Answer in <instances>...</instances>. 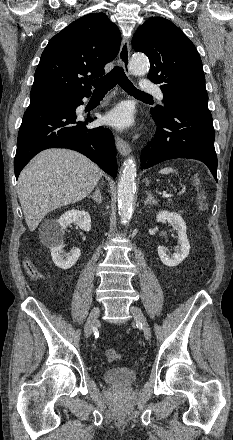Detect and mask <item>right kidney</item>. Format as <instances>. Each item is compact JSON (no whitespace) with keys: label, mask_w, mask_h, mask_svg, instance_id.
<instances>
[{"label":"right kidney","mask_w":233,"mask_h":440,"mask_svg":"<svg viewBox=\"0 0 233 440\" xmlns=\"http://www.w3.org/2000/svg\"><path fill=\"white\" fill-rule=\"evenodd\" d=\"M76 224L80 229L89 232L91 230V218L87 211L69 210L57 220H48L43 225L42 242L51 250L54 264L62 270L74 266L80 257V249L73 250L71 255L63 253V235L70 224Z\"/></svg>","instance_id":"1"}]
</instances>
